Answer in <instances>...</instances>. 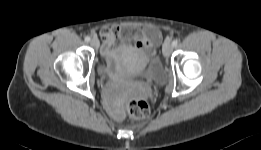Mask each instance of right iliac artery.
<instances>
[{"mask_svg": "<svg viewBox=\"0 0 261 150\" xmlns=\"http://www.w3.org/2000/svg\"><path fill=\"white\" fill-rule=\"evenodd\" d=\"M85 41H86V42H89V41H90V37H89V36H86V37H85Z\"/></svg>", "mask_w": 261, "mask_h": 150, "instance_id": "right-iliac-artery-1", "label": "right iliac artery"}]
</instances>
